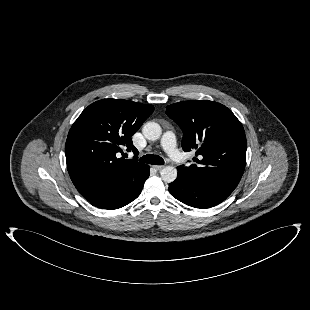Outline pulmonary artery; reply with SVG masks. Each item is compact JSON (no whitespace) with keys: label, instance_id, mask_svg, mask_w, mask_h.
I'll return each mask as SVG.
<instances>
[{"label":"pulmonary artery","instance_id":"obj_1","mask_svg":"<svg viewBox=\"0 0 310 310\" xmlns=\"http://www.w3.org/2000/svg\"><path fill=\"white\" fill-rule=\"evenodd\" d=\"M161 147L175 162L182 161V153L176 146L175 135L171 131H167L161 138Z\"/></svg>","mask_w":310,"mask_h":310}]
</instances>
